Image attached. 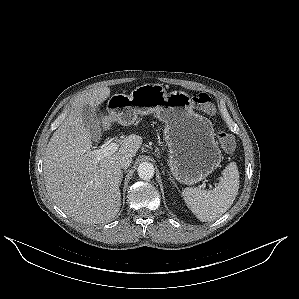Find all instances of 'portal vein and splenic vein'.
Masks as SVG:
<instances>
[{"label":"portal vein and splenic vein","mask_w":299,"mask_h":299,"mask_svg":"<svg viewBox=\"0 0 299 299\" xmlns=\"http://www.w3.org/2000/svg\"><path fill=\"white\" fill-rule=\"evenodd\" d=\"M118 148H119V144H117L116 142H111L104 148L91 151V154L94 155L97 158V160H100L101 158L113 154L118 150ZM200 187L205 188V184H202ZM210 187L212 186L210 185Z\"/></svg>","instance_id":"portal-vein-and-splenic-vein-1"}]
</instances>
